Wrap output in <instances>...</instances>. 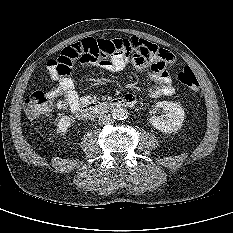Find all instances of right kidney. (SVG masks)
<instances>
[{"label": "right kidney", "instance_id": "obj_1", "mask_svg": "<svg viewBox=\"0 0 233 233\" xmlns=\"http://www.w3.org/2000/svg\"><path fill=\"white\" fill-rule=\"evenodd\" d=\"M71 117L68 115L62 116L57 123V133L59 135H64L71 126Z\"/></svg>", "mask_w": 233, "mask_h": 233}]
</instances>
